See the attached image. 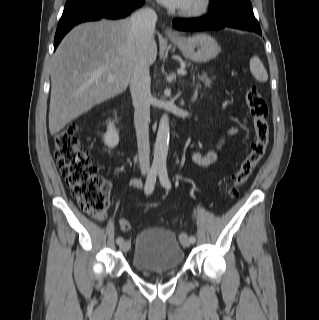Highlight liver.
<instances>
[{
    "label": "liver",
    "mask_w": 319,
    "mask_h": 320,
    "mask_svg": "<svg viewBox=\"0 0 319 320\" xmlns=\"http://www.w3.org/2000/svg\"><path fill=\"white\" fill-rule=\"evenodd\" d=\"M157 57L154 39L144 49L131 36L130 20H101L74 27L52 61L49 130L55 135L97 104L124 92L136 59ZM114 76L113 80H108Z\"/></svg>",
    "instance_id": "obj_1"
}]
</instances>
